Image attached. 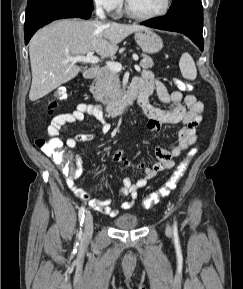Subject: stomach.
I'll return each mask as SVG.
<instances>
[{"mask_svg": "<svg viewBox=\"0 0 243 289\" xmlns=\"http://www.w3.org/2000/svg\"><path fill=\"white\" fill-rule=\"evenodd\" d=\"M137 44L146 53H157L163 47V41L154 31L146 28L135 32Z\"/></svg>", "mask_w": 243, "mask_h": 289, "instance_id": "obj_1", "label": "stomach"}]
</instances>
